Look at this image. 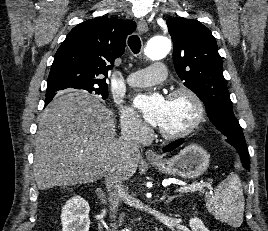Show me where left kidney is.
<instances>
[{
    "label": "left kidney",
    "instance_id": "5707ae66",
    "mask_svg": "<svg viewBox=\"0 0 268 231\" xmlns=\"http://www.w3.org/2000/svg\"><path fill=\"white\" fill-rule=\"evenodd\" d=\"M189 224L192 231H209L202 220L197 217L191 218Z\"/></svg>",
    "mask_w": 268,
    "mask_h": 231
}]
</instances>
